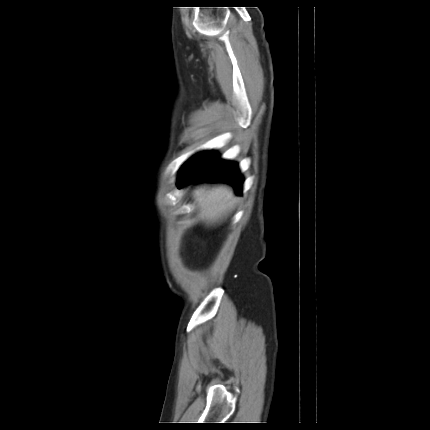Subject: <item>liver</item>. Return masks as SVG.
Listing matches in <instances>:
<instances>
[{"instance_id":"obj_1","label":"liver","mask_w":430,"mask_h":430,"mask_svg":"<svg viewBox=\"0 0 430 430\" xmlns=\"http://www.w3.org/2000/svg\"><path fill=\"white\" fill-rule=\"evenodd\" d=\"M201 208L206 211L207 223L222 219L232 209L233 204L228 199L232 191L227 186H215L200 190Z\"/></svg>"}]
</instances>
